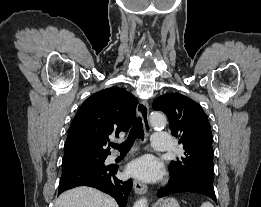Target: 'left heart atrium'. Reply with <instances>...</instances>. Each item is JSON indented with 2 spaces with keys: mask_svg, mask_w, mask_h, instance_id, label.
I'll return each mask as SVG.
<instances>
[{
  "mask_svg": "<svg viewBox=\"0 0 261 207\" xmlns=\"http://www.w3.org/2000/svg\"><path fill=\"white\" fill-rule=\"evenodd\" d=\"M162 172L161 164L151 155L142 156L132 161L127 167V174L142 181H154Z\"/></svg>",
  "mask_w": 261,
  "mask_h": 207,
  "instance_id": "obj_1",
  "label": "left heart atrium"
}]
</instances>
